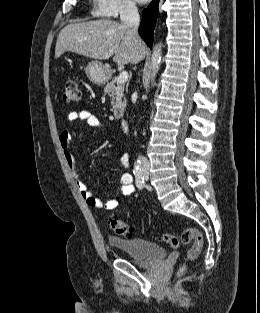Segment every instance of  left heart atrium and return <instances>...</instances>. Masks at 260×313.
<instances>
[{
	"instance_id": "1",
	"label": "left heart atrium",
	"mask_w": 260,
	"mask_h": 313,
	"mask_svg": "<svg viewBox=\"0 0 260 313\" xmlns=\"http://www.w3.org/2000/svg\"><path fill=\"white\" fill-rule=\"evenodd\" d=\"M137 2H139V3H145V2H147L148 0H136Z\"/></svg>"
}]
</instances>
